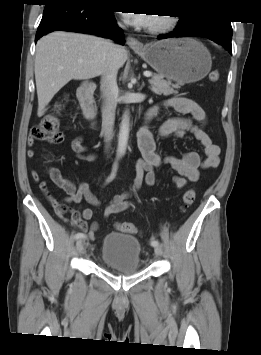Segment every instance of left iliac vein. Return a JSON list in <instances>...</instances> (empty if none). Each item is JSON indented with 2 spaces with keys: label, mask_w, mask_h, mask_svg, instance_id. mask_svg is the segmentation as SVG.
Here are the masks:
<instances>
[{
  "label": "left iliac vein",
  "mask_w": 261,
  "mask_h": 355,
  "mask_svg": "<svg viewBox=\"0 0 261 355\" xmlns=\"http://www.w3.org/2000/svg\"><path fill=\"white\" fill-rule=\"evenodd\" d=\"M154 252H155L156 256H161L163 253L162 248L160 246H155Z\"/></svg>",
  "instance_id": "4c4485c4"
}]
</instances>
